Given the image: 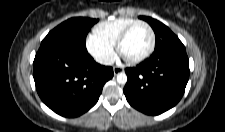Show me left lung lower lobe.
<instances>
[{
  "mask_svg": "<svg viewBox=\"0 0 225 132\" xmlns=\"http://www.w3.org/2000/svg\"><path fill=\"white\" fill-rule=\"evenodd\" d=\"M127 101L135 109L159 115L182 98L189 79V60L184 46L152 55L134 68H126Z\"/></svg>",
  "mask_w": 225,
  "mask_h": 132,
  "instance_id": "left-lung-lower-lobe-1",
  "label": "left lung lower lobe"
}]
</instances>
